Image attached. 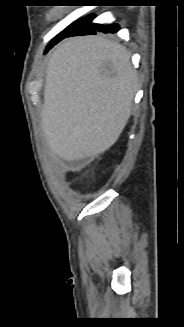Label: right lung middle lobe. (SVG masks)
I'll use <instances>...</instances> for the list:
<instances>
[{
    "label": "right lung middle lobe",
    "instance_id": "dd1d6c3e",
    "mask_svg": "<svg viewBox=\"0 0 184 327\" xmlns=\"http://www.w3.org/2000/svg\"><path fill=\"white\" fill-rule=\"evenodd\" d=\"M82 19L72 23L70 26H68L62 33H60L57 37H55L47 46L46 51L51 48L53 45H55L65 34L69 33Z\"/></svg>",
    "mask_w": 184,
    "mask_h": 327
}]
</instances>
